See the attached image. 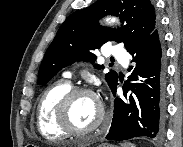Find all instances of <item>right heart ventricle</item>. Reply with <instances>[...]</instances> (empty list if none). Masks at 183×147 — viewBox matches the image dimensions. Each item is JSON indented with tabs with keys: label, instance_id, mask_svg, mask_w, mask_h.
Returning <instances> with one entry per match:
<instances>
[{
	"label": "right heart ventricle",
	"instance_id": "obj_1",
	"mask_svg": "<svg viewBox=\"0 0 183 147\" xmlns=\"http://www.w3.org/2000/svg\"><path fill=\"white\" fill-rule=\"evenodd\" d=\"M70 89L68 81H59L43 92L36 111L37 127L43 137L50 140L66 137L67 133L58 125L55 113L59 100Z\"/></svg>",
	"mask_w": 183,
	"mask_h": 147
}]
</instances>
